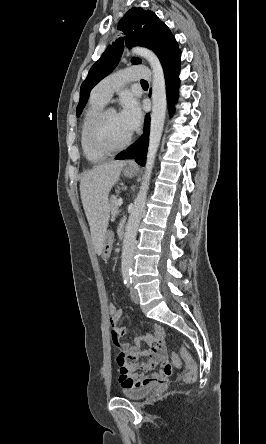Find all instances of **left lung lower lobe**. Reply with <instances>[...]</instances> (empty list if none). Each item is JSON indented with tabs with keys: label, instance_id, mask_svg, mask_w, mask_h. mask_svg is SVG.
Wrapping results in <instances>:
<instances>
[{
	"label": "left lung lower lobe",
	"instance_id": "left-lung-lower-lobe-1",
	"mask_svg": "<svg viewBox=\"0 0 266 444\" xmlns=\"http://www.w3.org/2000/svg\"><path fill=\"white\" fill-rule=\"evenodd\" d=\"M164 75L166 81V93L167 101L170 108V112L174 110V104L178 97V85H179V72H180V55L171 61L167 62L164 66ZM150 131V117L146 115V126L143 135L138 141L131 146V148L124 153H120L116 159H135L136 162L142 166L145 164V157L148 148V137Z\"/></svg>",
	"mask_w": 266,
	"mask_h": 444
}]
</instances>
